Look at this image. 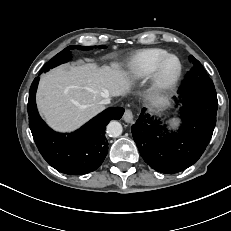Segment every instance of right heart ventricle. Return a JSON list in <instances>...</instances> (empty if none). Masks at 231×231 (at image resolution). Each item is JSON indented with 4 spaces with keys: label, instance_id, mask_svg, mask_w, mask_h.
<instances>
[{
    "label": "right heart ventricle",
    "instance_id": "right-heart-ventricle-1",
    "mask_svg": "<svg viewBox=\"0 0 231 231\" xmlns=\"http://www.w3.org/2000/svg\"><path fill=\"white\" fill-rule=\"evenodd\" d=\"M168 54L162 48H146L132 55L125 63V73L133 81H143L153 72L158 62Z\"/></svg>",
    "mask_w": 231,
    "mask_h": 231
}]
</instances>
